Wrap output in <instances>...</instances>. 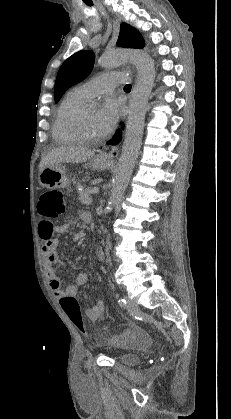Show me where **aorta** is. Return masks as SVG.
<instances>
[{
	"instance_id": "obj_1",
	"label": "aorta",
	"mask_w": 231,
	"mask_h": 419,
	"mask_svg": "<svg viewBox=\"0 0 231 419\" xmlns=\"http://www.w3.org/2000/svg\"><path fill=\"white\" fill-rule=\"evenodd\" d=\"M131 61L137 69V79L129 99L125 138L117 172L113 180L108 207L113 206L125 191L140 151L148 100L156 76L152 58L144 51L117 49L101 56L100 66L109 68Z\"/></svg>"
}]
</instances>
